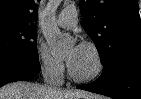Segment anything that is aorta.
Listing matches in <instances>:
<instances>
[{
    "label": "aorta",
    "instance_id": "1",
    "mask_svg": "<svg viewBox=\"0 0 141 99\" xmlns=\"http://www.w3.org/2000/svg\"><path fill=\"white\" fill-rule=\"evenodd\" d=\"M60 0H50L46 7V16L42 25V32L54 55L65 53L71 46L72 39L63 35L55 23L56 10Z\"/></svg>",
    "mask_w": 141,
    "mask_h": 99
}]
</instances>
